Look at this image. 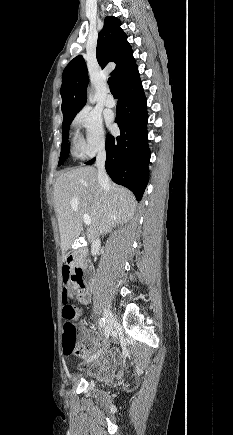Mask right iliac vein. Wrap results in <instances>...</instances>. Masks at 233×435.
Instances as JSON below:
<instances>
[{
    "instance_id": "right-iliac-vein-1",
    "label": "right iliac vein",
    "mask_w": 233,
    "mask_h": 435,
    "mask_svg": "<svg viewBox=\"0 0 233 435\" xmlns=\"http://www.w3.org/2000/svg\"><path fill=\"white\" fill-rule=\"evenodd\" d=\"M104 317L106 319L105 335H106V338H108L113 330L115 318H114L112 312L107 308L104 310ZM98 355H99V353H98ZM93 358L94 357H91V359H89V360H92Z\"/></svg>"
}]
</instances>
